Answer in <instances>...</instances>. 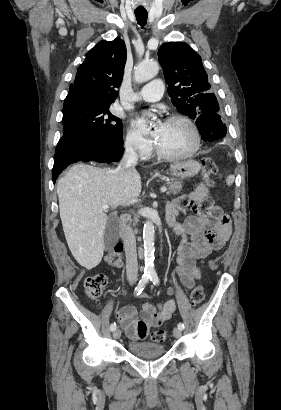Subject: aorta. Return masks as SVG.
Listing matches in <instances>:
<instances>
[{"label":"aorta","instance_id":"obj_1","mask_svg":"<svg viewBox=\"0 0 281 410\" xmlns=\"http://www.w3.org/2000/svg\"><path fill=\"white\" fill-rule=\"evenodd\" d=\"M159 71L157 62H142L134 71V79L138 83L146 82L154 78ZM154 225L151 220H147L143 227V243H144V258H145V274L154 273Z\"/></svg>","mask_w":281,"mask_h":410}]
</instances>
